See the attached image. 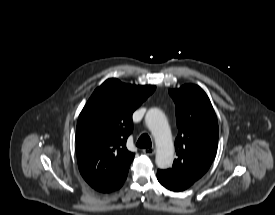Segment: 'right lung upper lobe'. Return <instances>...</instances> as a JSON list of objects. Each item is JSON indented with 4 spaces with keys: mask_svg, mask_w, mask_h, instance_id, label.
Here are the masks:
<instances>
[{
    "mask_svg": "<svg viewBox=\"0 0 275 215\" xmlns=\"http://www.w3.org/2000/svg\"><path fill=\"white\" fill-rule=\"evenodd\" d=\"M155 88L108 79L84 106L76 129L77 161L91 187L110 185L127 176L134 158L126 148L132 113Z\"/></svg>",
    "mask_w": 275,
    "mask_h": 215,
    "instance_id": "right-lung-upper-lobe-1",
    "label": "right lung upper lobe"
}]
</instances>
